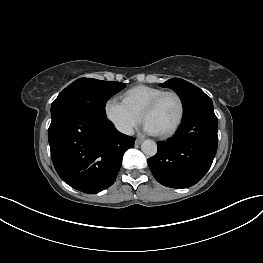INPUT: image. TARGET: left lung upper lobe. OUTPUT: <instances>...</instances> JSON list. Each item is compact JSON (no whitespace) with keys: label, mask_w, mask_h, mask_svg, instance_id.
Segmentation results:
<instances>
[{"label":"left lung upper lobe","mask_w":263,"mask_h":263,"mask_svg":"<svg viewBox=\"0 0 263 263\" xmlns=\"http://www.w3.org/2000/svg\"><path fill=\"white\" fill-rule=\"evenodd\" d=\"M160 86L171 88L180 96L184 106V120L199 112L213 110V103L210 97L201 89L185 80L172 78L160 84Z\"/></svg>","instance_id":"5c2ea615"}]
</instances>
